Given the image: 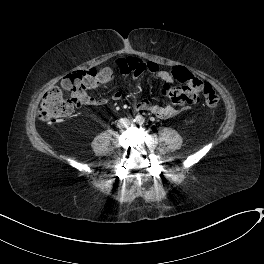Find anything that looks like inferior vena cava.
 I'll return each mask as SVG.
<instances>
[{
  "mask_svg": "<svg viewBox=\"0 0 264 264\" xmlns=\"http://www.w3.org/2000/svg\"><path fill=\"white\" fill-rule=\"evenodd\" d=\"M129 124H130V121L127 118H121L118 120V127L119 128L127 127Z\"/></svg>",
  "mask_w": 264,
  "mask_h": 264,
  "instance_id": "inferior-vena-cava-1",
  "label": "inferior vena cava"
}]
</instances>
